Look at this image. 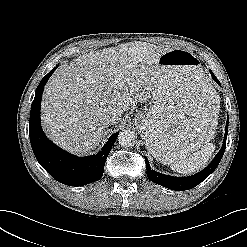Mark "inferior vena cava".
<instances>
[{
    "instance_id": "602c4592",
    "label": "inferior vena cava",
    "mask_w": 247,
    "mask_h": 247,
    "mask_svg": "<svg viewBox=\"0 0 247 247\" xmlns=\"http://www.w3.org/2000/svg\"><path fill=\"white\" fill-rule=\"evenodd\" d=\"M120 121V117L119 114L117 113H111L108 117H107V122L110 124L116 123Z\"/></svg>"
}]
</instances>
